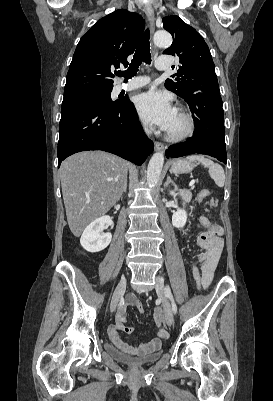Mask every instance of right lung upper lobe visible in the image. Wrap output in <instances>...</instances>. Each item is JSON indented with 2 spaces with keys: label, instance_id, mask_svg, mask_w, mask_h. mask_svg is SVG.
<instances>
[{
  "label": "right lung upper lobe",
  "instance_id": "obj_1",
  "mask_svg": "<svg viewBox=\"0 0 273 401\" xmlns=\"http://www.w3.org/2000/svg\"><path fill=\"white\" fill-rule=\"evenodd\" d=\"M143 30V19L124 9L97 21L76 47L64 96L112 89V70L128 64Z\"/></svg>",
  "mask_w": 273,
  "mask_h": 401
}]
</instances>
